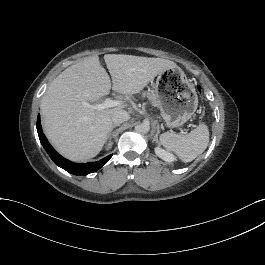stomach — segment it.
<instances>
[{"label": "stomach", "instance_id": "stomach-1", "mask_svg": "<svg viewBox=\"0 0 265 265\" xmlns=\"http://www.w3.org/2000/svg\"><path fill=\"white\" fill-rule=\"evenodd\" d=\"M154 93L169 128L183 125L197 109V93L179 67L167 68L158 75Z\"/></svg>", "mask_w": 265, "mask_h": 265}]
</instances>
